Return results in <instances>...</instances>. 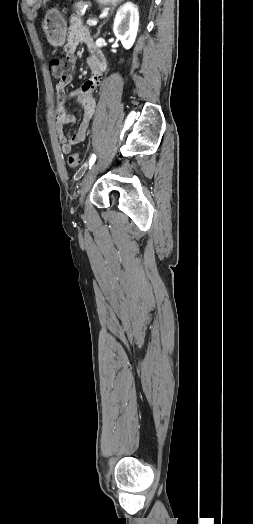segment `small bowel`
Here are the masks:
<instances>
[{
	"label": "small bowel",
	"instance_id": "small-bowel-1",
	"mask_svg": "<svg viewBox=\"0 0 253 524\" xmlns=\"http://www.w3.org/2000/svg\"><path fill=\"white\" fill-rule=\"evenodd\" d=\"M80 45L84 46L88 52L87 64L91 74L85 83L67 94L66 86L69 85L73 77L77 74L76 68L78 63L75 52ZM65 53V62L68 66L67 71L61 74V80L56 85V128L61 150L64 154H69L72 147L83 142L88 135L89 125L96 108L94 92L102 81L103 74L107 69V62L102 52L94 45L90 31L77 19L71 22L67 43L65 45ZM68 96L75 98L82 107L81 123L78 130L70 138L65 136L63 129L65 126L75 124L76 117L69 114L66 110V100Z\"/></svg>",
	"mask_w": 253,
	"mask_h": 524
}]
</instances>
